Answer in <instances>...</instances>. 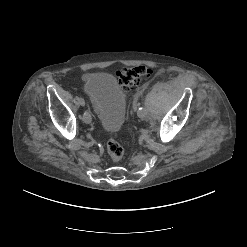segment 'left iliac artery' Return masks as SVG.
<instances>
[{
	"label": "left iliac artery",
	"mask_w": 247,
	"mask_h": 247,
	"mask_svg": "<svg viewBox=\"0 0 247 247\" xmlns=\"http://www.w3.org/2000/svg\"><path fill=\"white\" fill-rule=\"evenodd\" d=\"M144 111H145L144 107H143V106H139L138 112L142 113V112H144Z\"/></svg>",
	"instance_id": "left-iliac-artery-1"
}]
</instances>
